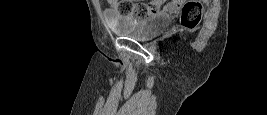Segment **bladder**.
I'll return each mask as SVG.
<instances>
[{"label": "bladder", "mask_w": 267, "mask_h": 115, "mask_svg": "<svg viewBox=\"0 0 267 115\" xmlns=\"http://www.w3.org/2000/svg\"><path fill=\"white\" fill-rule=\"evenodd\" d=\"M172 23L170 15L165 13L150 14L136 23L111 25V29L123 36L137 41H147L165 31Z\"/></svg>", "instance_id": "31cf9c89"}]
</instances>
